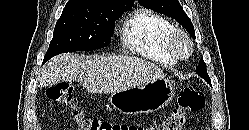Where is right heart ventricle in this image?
<instances>
[{
	"mask_svg": "<svg viewBox=\"0 0 249 130\" xmlns=\"http://www.w3.org/2000/svg\"><path fill=\"white\" fill-rule=\"evenodd\" d=\"M175 29L165 17L147 9L137 10L122 25L120 39L130 52L162 65H175L165 49L168 35Z\"/></svg>",
	"mask_w": 249,
	"mask_h": 130,
	"instance_id": "e07e8e85",
	"label": "right heart ventricle"
}]
</instances>
